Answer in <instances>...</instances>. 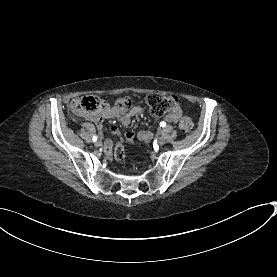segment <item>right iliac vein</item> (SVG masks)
I'll return each instance as SVG.
<instances>
[{"label":"right iliac vein","mask_w":277,"mask_h":277,"mask_svg":"<svg viewBox=\"0 0 277 277\" xmlns=\"http://www.w3.org/2000/svg\"><path fill=\"white\" fill-rule=\"evenodd\" d=\"M95 146H96V147H100V146H102V142H101V140H97V141H95Z\"/></svg>","instance_id":"1"}]
</instances>
